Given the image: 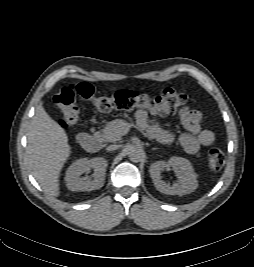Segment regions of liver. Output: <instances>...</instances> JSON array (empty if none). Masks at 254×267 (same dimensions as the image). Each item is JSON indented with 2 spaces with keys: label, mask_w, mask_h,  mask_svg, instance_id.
<instances>
[{
  "label": "liver",
  "mask_w": 254,
  "mask_h": 267,
  "mask_svg": "<svg viewBox=\"0 0 254 267\" xmlns=\"http://www.w3.org/2000/svg\"><path fill=\"white\" fill-rule=\"evenodd\" d=\"M26 159L32 175L51 196H59L61 170L71 154L65 130L37 106L27 133Z\"/></svg>",
  "instance_id": "1"
}]
</instances>
